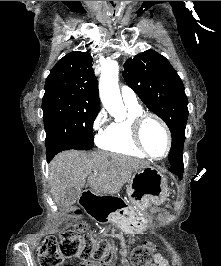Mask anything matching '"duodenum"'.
I'll list each match as a JSON object with an SVG mask.
<instances>
[{
  "instance_id": "obj_1",
  "label": "duodenum",
  "mask_w": 221,
  "mask_h": 266,
  "mask_svg": "<svg viewBox=\"0 0 221 266\" xmlns=\"http://www.w3.org/2000/svg\"><path fill=\"white\" fill-rule=\"evenodd\" d=\"M78 203L86 207L85 213L96 219V223H110V219H114L123 228L130 229L133 226L125 215L123 200L108 189H84Z\"/></svg>"
}]
</instances>
